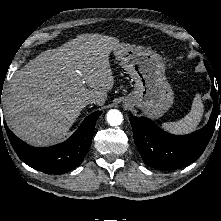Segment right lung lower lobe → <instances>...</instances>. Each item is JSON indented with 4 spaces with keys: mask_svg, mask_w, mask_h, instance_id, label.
<instances>
[{
    "mask_svg": "<svg viewBox=\"0 0 221 221\" xmlns=\"http://www.w3.org/2000/svg\"><path fill=\"white\" fill-rule=\"evenodd\" d=\"M101 113L98 111L87 116L65 142L46 148L31 147L16 137L6 124L4 127L15 152L24 163L44 173L58 175L82 163L91 145L96 120ZM0 129L2 131L1 120Z\"/></svg>",
    "mask_w": 221,
    "mask_h": 221,
    "instance_id": "98d812e1",
    "label": "right lung lower lobe"
}]
</instances>
